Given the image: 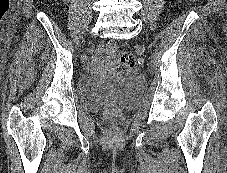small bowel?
Masks as SVG:
<instances>
[{
  "instance_id": "obj_1",
  "label": "small bowel",
  "mask_w": 227,
  "mask_h": 173,
  "mask_svg": "<svg viewBox=\"0 0 227 173\" xmlns=\"http://www.w3.org/2000/svg\"><path fill=\"white\" fill-rule=\"evenodd\" d=\"M100 55H101V52H99V53L96 55V57H95V61H98V60H99Z\"/></svg>"
}]
</instances>
